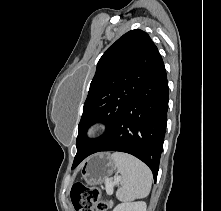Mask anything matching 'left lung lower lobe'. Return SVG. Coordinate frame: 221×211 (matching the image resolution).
Instances as JSON below:
<instances>
[{
	"mask_svg": "<svg viewBox=\"0 0 221 211\" xmlns=\"http://www.w3.org/2000/svg\"><path fill=\"white\" fill-rule=\"evenodd\" d=\"M167 110L168 81L159 55L119 120L87 156L101 151L129 153L149 166L156 181Z\"/></svg>",
	"mask_w": 221,
	"mask_h": 211,
	"instance_id": "obj_1",
	"label": "left lung lower lobe"
}]
</instances>
